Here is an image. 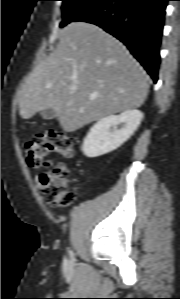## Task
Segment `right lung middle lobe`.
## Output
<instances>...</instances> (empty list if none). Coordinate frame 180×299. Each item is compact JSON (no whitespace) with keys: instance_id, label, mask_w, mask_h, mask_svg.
I'll return each instance as SVG.
<instances>
[{"instance_id":"right-lung-middle-lobe-1","label":"right lung middle lobe","mask_w":180,"mask_h":299,"mask_svg":"<svg viewBox=\"0 0 180 299\" xmlns=\"http://www.w3.org/2000/svg\"><path fill=\"white\" fill-rule=\"evenodd\" d=\"M62 22L60 27L75 21L83 13L94 7L102 0H62Z\"/></svg>"}]
</instances>
